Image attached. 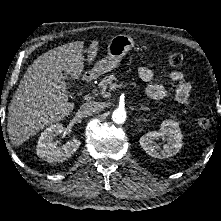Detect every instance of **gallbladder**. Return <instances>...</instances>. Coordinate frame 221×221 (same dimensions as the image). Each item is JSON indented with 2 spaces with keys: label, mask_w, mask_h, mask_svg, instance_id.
<instances>
[{
  "label": "gallbladder",
  "mask_w": 221,
  "mask_h": 221,
  "mask_svg": "<svg viewBox=\"0 0 221 221\" xmlns=\"http://www.w3.org/2000/svg\"><path fill=\"white\" fill-rule=\"evenodd\" d=\"M63 78H64V80H69V77L67 74H63Z\"/></svg>",
  "instance_id": "bac80fb5"
}]
</instances>
